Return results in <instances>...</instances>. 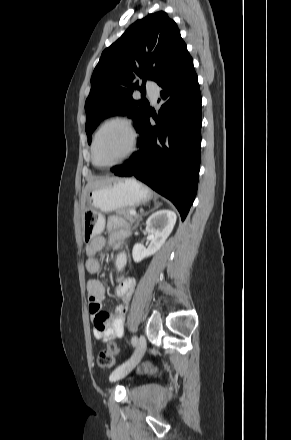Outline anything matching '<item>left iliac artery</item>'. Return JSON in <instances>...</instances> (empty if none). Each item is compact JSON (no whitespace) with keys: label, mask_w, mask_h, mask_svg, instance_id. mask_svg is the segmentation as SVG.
<instances>
[{"label":"left iliac artery","mask_w":291,"mask_h":440,"mask_svg":"<svg viewBox=\"0 0 291 440\" xmlns=\"http://www.w3.org/2000/svg\"><path fill=\"white\" fill-rule=\"evenodd\" d=\"M131 343H132L133 346H136L137 343H138V338H137L136 336H133V337L131 338Z\"/></svg>","instance_id":"obj_1"}]
</instances>
